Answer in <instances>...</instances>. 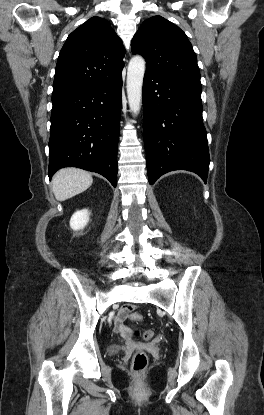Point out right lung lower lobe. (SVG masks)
<instances>
[{
	"label": "right lung lower lobe",
	"mask_w": 264,
	"mask_h": 415,
	"mask_svg": "<svg viewBox=\"0 0 264 415\" xmlns=\"http://www.w3.org/2000/svg\"><path fill=\"white\" fill-rule=\"evenodd\" d=\"M122 74L86 88L52 96L48 176L74 166L117 184Z\"/></svg>",
	"instance_id": "1"
}]
</instances>
